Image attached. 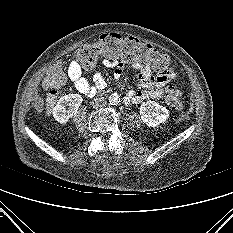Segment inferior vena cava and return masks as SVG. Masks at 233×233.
<instances>
[{
	"instance_id": "inferior-vena-cava-1",
	"label": "inferior vena cava",
	"mask_w": 233,
	"mask_h": 233,
	"mask_svg": "<svg viewBox=\"0 0 233 233\" xmlns=\"http://www.w3.org/2000/svg\"><path fill=\"white\" fill-rule=\"evenodd\" d=\"M105 104H106V101L103 98H97V99H95L94 105L96 107H101V106H103Z\"/></svg>"
}]
</instances>
